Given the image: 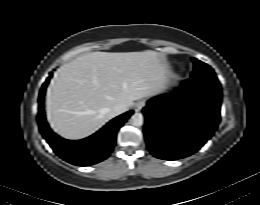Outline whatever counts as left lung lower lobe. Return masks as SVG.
Masks as SVG:
<instances>
[{
	"instance_id": "left-lung-lower-lobe-1",
	"label": "left lung lower lobe",
	"mask_w": 260,
	"mask_h": 205,
	"mask_svg": "<svg viewBox=\"0 0 260 205\" xmlns=\"http://www.w3.org/2000/svg\"><path fill=\"white\" fill-rule=\"evenodd\" d=\"M221 98L220 83L189 78L173 93L149 100L143 114L150 152L177 160L198 151L217 129Z\"/></svg>"
}]
</instances>
